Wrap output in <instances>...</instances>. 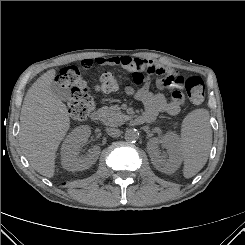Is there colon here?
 <instances>
[{
  "label": "colon",
  "mask_w": 245,
  "mask_h": 245,
  "mask_svg": "<svg viewBox=\"0 0 245 245\" xmlns=\"http://www.w3.org/2000/svg\"><path fill=\"white\" fill-rule=\"evenodd\" d=\"M167 73L171 76H176L174 70H167ZM131 80L138 85L142 82L143 76L139 73H134ZM57 81L61 86L71 89L68 108L72 118L75 120L87 118L94 109L95 103L88 92L79 68L73 65L63 68L57 77ZM119 86L120 81L116 75L111 72H105L100 77L97 89L104 93H110L116 91ZM185 88L188 98L193 104H200L204 100L205 88L202 78L198 76L188 78L185 82Z\"/></svg>",
  "instance_id": "1"
}]
</instances>
